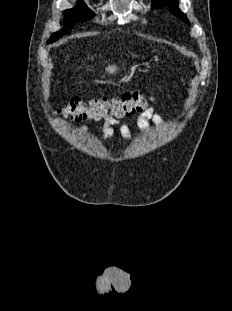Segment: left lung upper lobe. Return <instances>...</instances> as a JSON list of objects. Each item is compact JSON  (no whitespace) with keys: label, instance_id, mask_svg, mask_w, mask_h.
<instances>
[{"label":"left lung upper lobe","instance_id":"obj_1","mask_svg":"<svg viewBox=\"0 0 232 311\" xmlns=\"http://www.w3.org/2000/svg\"><path fill=\"white\" fill-rule=\"evenodd\" d=\"M152 6H156V7L167 6L173 14H175L178 18L184 21H187L188 24L190 25L186 15L183 14L178 7L179 0H152Z\"/></svg>","mask_w":232,"mask_h":311}]
</instances>
